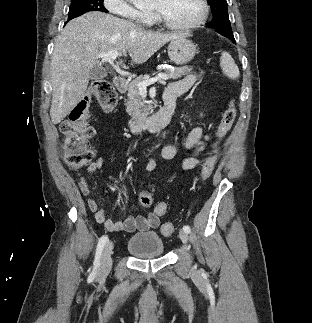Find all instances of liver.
Returning <instances> with one entry per match:
<instances>
[{
	"instance_id": "1",
	"label": "liver",
	"mask_w": 312,
	"mask_h": 323,
	"mask_svg": "<svg viewBox=\"0 0 312 323\" xmlns=\"http://www.w3.org/2000/svg\"><path fill=\"white\" fill-rule=\"evenodd\" d=\"M181 36L147 32L102 12H89L68 22L55 40L50 66L52 124H60L84 98L99 54L129 52L134 64H144L164 44Z\"/></svg>"
}]
</instances>
